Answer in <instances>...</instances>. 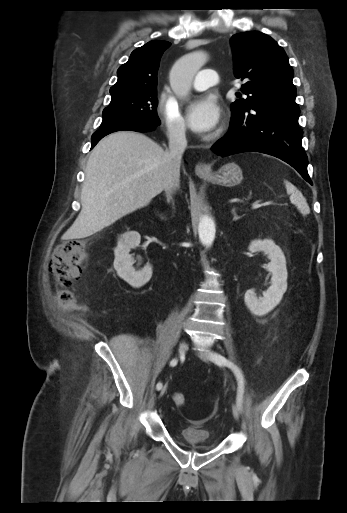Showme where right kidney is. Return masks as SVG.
Returning a JSON list of instances; mask_svg holds the SVG:
<instances>
[{
    "instance_id": "1",
    "label": "right kidney",
    "mask_w": 347,
    "mask_h": 513,
    "mask_svg": "<svg viewBox=\"0 0 347 513\" xmlns=\"http://www.w3.org/2000/svg\"><path fill=\"white\" fill-rule=\"evenodd\" d=\"M141 236L136 231L127 232L120 236L117 247L114 250V268L117 275L129 283L132 287L143 286L152 276V267L145 266L136 271L133 267V258L129 254L132 248L139 245Z\"/></svg>"
}]
</instances>
